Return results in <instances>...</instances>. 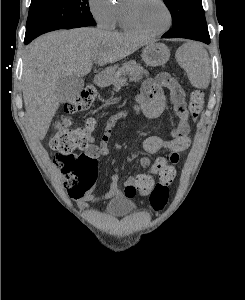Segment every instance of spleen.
<instances>
[{"instance_id": "3e777b00", "label": "spleen", "mask_w": 245, "mask_h": 300, "mask_svg": "<svg viewBox=\"0 0 245 300\" xmlns=\"http://www.w3.org/2000/svg\"><path fill=\"white\" fill-rule=\"evenodd\" d=\"M181 65L187 72L190 83L206 89L210 82V64L208 53L198 44H189L183 49Z\"/></svg>"}]
</instances>
